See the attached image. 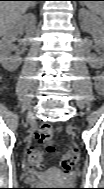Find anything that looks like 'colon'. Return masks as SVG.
Segmentation results:
<instances>
[{
	"instance_id": "5ec220e1",
	"label": "colon",
	"mask_w": 104,
	"mask_h": 189,
	"mask_svg": "<svg viewBox=\"0 0 104 189\" xmlns=\"http://www.w3.org/2000/svg\"><path fill=\"white\" fill-rule=\"evenodd\" d=\"M36 144L28 148V167L33 171L43 168V157L46 152L53 151V130L50 125H40L35 133ZM78 162V153L75 148L67 149L61 158V169L70 171Z\"/></svg>"
}]
</instances>
